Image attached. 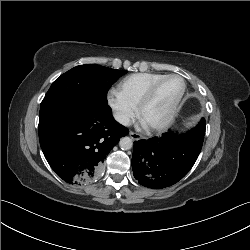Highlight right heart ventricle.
<instances>
[{
    "instance_id": "right-heart-ventricle-1",
    "label": "right heart ventricle",
    "mask_w": 250,
    "mask_h": 250,
    "mask_svg": "<svg viewBox=\"0 0 250 250\" xmlns=\"http://www.w3.org/2000/svg\"><path fill=\"white\" fill-rule=\"evenodd\" d=\"M163 76L161 73L131 74L120 82L119 92L128 102L137 106L148 88Z\"/></svg>"
}]
</instances>
